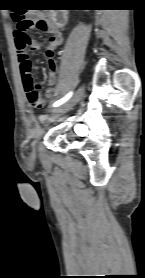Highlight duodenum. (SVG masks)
<instances>
[{
  "mask_svg": "<svg viewBox=\"0 0 145 278\" xmlns=\"http://www.w3.org/2000/svg\"><path fill=\"white\" fill-rule=\"evenodd\" d=\"M68 20V15L64 10H58L51 13L49 21L52 25L56 27H63L66 25Z\"/></svg>",
  "mask_w": 145,
  "mask_h": 278,
  "instance_id": "duodenum-1",
  "label": "duodenum"
}]
</instances>
